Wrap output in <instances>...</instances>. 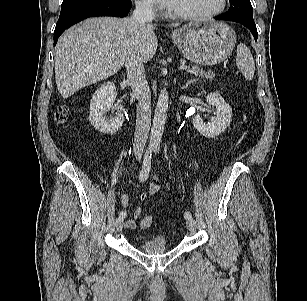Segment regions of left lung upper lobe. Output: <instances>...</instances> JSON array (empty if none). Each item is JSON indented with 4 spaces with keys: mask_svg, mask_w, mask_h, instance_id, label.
<instances>
[{
    "mask_svg": "<svg viewBox=\"0 0 307 301\" xmlns=\"http://www.w3.org/2000/svg\"><path fill=\"white\" fill-rule=\"evenodd\" d=\"M230 8L222 16L227 18H240L253 20L250 0H229Z\"/></svg>",
    "mask_w": 307,
    "mask_h": 301,
    "instance_id": "left-lung-upper-lobe-1",
    "label": "left lung upper lobe"
}]
</instances>
